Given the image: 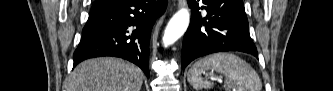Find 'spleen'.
Returning <instances> with one entry per match:
<instances>
[{"instance_id": "1", "label": "spleen", "mask_w": 333, "mask_h": 91, "mask_svg": "<svg viewBox=\"0 0 333 91\" xmlns=\"http://www.w3.org/2000/svg\"><path fill=\"white\" fill-rule=\"evenodd\" d=\"M212 70L225 76L226 90L261 91L262 81L257 72L245 60L228 52L204 57L195 62L188 71L187 79L197 91L213 87V83L202 79V73Z\"/></svg>"}]
</instances>
